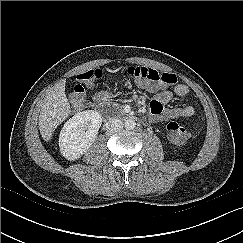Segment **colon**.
<instances>
[{
	"label": "colon",
	"mask_w": 243,
	"mask_h": 243,
	"mask_svg": "<svg viewBox=\"0 0 243 243\" xmlns=\"http://www.w3.org/2000/svg\"><path fill=\"white\" fill-rule=\"evenodd\" d=\"M127 73L138 82L154 87L173 86L178 82V78L172 73L162 72L147 67L130 66L127 69ZM102 74L101 69H91L77 75V83L70 93V100L77 108L82 109L85 107L84 84H92L97 79H100ZM167 130L170 139L177 144H185L191 138L189 130L177 122H169L167 124Z\"/></svg>",
	"instance_id": "obj_1"
}]
</instances>
